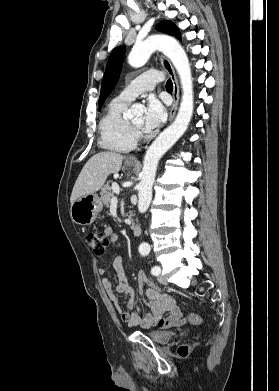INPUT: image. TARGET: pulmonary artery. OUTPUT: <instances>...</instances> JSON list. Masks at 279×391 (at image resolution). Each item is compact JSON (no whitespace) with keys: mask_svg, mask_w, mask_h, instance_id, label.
<instances>
[{"mask_svg":"<svg viewBox=\"0 0 279 391\" xmlns=\"http://www.w3.org/2000/svg\"><path fill=\"white\" fill-rule=\"evenodd\" d=\"M163 76L157 71H147L132 80L119 94V97L132 101L139 94L152 90L162 80Z\"/></svg>","mask_w":279,"mask_h":391,"instance_id":"1","label":"pulmonary artery"}]
</instances>
